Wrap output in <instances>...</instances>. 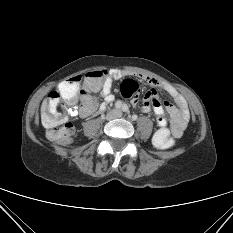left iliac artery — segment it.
I'll return each mask as SVG.
<instances>
[{"instance_id":"obj_1","label":"left iliac artery","mask_w":233,"mask_h":233,"mask_svg":"<svg viewBox=\"0 0 233 233\" xmlns=\"http://www.w3.org/2000/svg\"><path fill=\"white\" fill-rule=\"evenodd\" d=\"M122 110H123L124 112H127V111H128V106H127L126 104H124V105L122 106Z\"/></svg>"}]
</instances>
